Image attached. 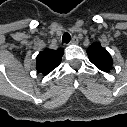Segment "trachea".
<instances>
[{"label":"trachea","mask_w":127,"mask_h":127,"mask_svg":"<svg viewBox=\"0 0 127 127\" xmlns=\"http://www.w3.org/2000/svg\"><path fill=\"white\" fill-rule=\"evenodd\" d=\"M71 40V36L69 33L65 32L62 36V42L63 43H69Z\"/></svg>","instance_id":"3493384b"}]
</instances>
